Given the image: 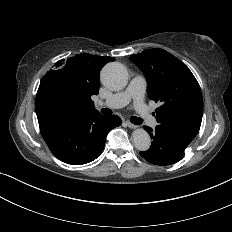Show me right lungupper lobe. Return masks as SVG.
Segmentation results:
<instances>
[{"mask_svg":"<svg viewBox=\"0 0 232 232\" xmlns=\"http://www.w3.org/2000/svg\"><path fill=\"white\" fill-rule=\"evenodd\" d=\"M115 59L82 53L67 61L60 60L55 69L42 78L36 95L37 114L52 111H96L91 100L99 92V73Z\"/></svg>","mask_w":232,"mask_h":232,"instance_id":"obj_1","label":"right lung upper lobe"}]
</instances>
